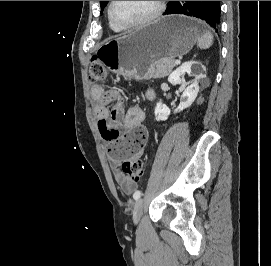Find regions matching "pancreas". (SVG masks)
<instances>
[{
  "instance_id": "1",
  "label": "pancreas",
  "mask_w": 271,
  "mask_h": 266,
  "mask_svg": "<svg viewBox=\"0 0 271 266\" xmlns=\"http://www.w3.org/2000/svg\"><path fill=\"white\" fill-rule=\"evenodd\" d=\"M175 60L163 58L154 62L149 68V77L163 78L167 76L175 67Z\"/></svg>"
}]
</instances>
